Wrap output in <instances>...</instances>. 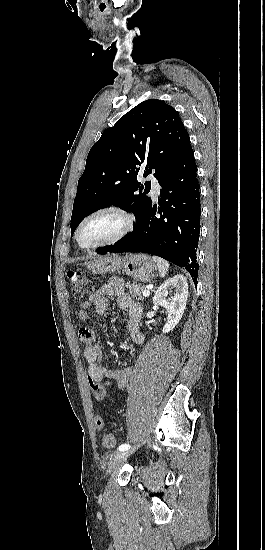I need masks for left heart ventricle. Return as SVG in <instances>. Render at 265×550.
<instances>
[{"instance_id": "b2bd125f", "label": "left heart ventricle", "mask_w": 265, "mask_h": 550, "mask_svg": "<svg viewBox=\"0 0 265 550\" xmlns=\"http://www.w3.org/2000/svg\"><path fill=\"white\" fill-rule=\"evenodd\" d=\"M121 225L122 221L116 215L99 214L83 225L79 233V242L87 247L105 241L115 235Z\"/></svg>"}]
</instances>
